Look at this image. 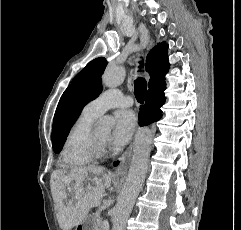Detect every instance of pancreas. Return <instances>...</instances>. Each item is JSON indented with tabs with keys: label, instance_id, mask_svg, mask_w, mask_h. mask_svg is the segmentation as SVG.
<instances>
[{
	"label": "pancreas",
	"instance_id": "obj_1",
	"mask_svg": "<svg viewBox=\"0 0 241 230\" xmlns=\"http://www.w3.org/2000/svg\"><path fill=\"white\" fill-rule=\"evenodd\" d=\"M94 230H104V227L101 223H96Z\"/></svg>",
	"mask_w": 241,
	"mask_h": 230
}]
</instances>
